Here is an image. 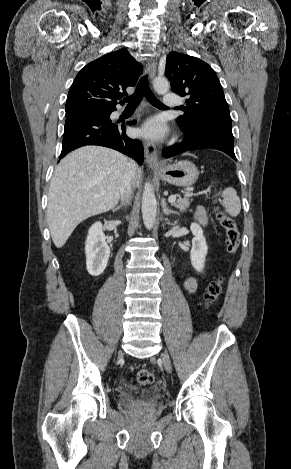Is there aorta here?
<instances>
[{"instance_id": "1", "label": "aorta", "mask_w": 291, "mask_h": 469, "mask_svg": "<svg viewBox=\"0 0 291 469\" xmlns=\"http://www.w3.org/2000/svg\"><path fill=\"white\" fill-rule=\"evenodd\" d=\"M153 87L157 94L162 95L169 91V83L164 77H156L153 81ZM156 212L157 201L154 188L150 182H147L142 194V217L145 227L149 230L154 226Z\"/></svg>"}]
</instances>
